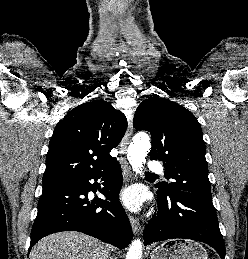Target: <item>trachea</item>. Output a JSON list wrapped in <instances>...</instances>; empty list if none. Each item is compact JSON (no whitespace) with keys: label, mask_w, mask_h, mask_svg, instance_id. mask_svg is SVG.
<instances>
[{"label":"trachea","mask_w":248,"mask_h":259,"mask_svg":"<svg viewBox=\"0 0 248 259\" xmlns=\"http://www.w3.org/2000/svg\"><path fill=\"white\" fill-rule=\"evenodd\" d=\"M146 174H148V175H154V174H151V173H148V172H147Z\"/></svg>","instance_id":"obj_1"}]
</instances>
